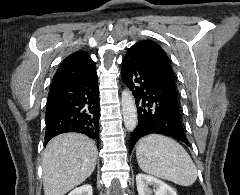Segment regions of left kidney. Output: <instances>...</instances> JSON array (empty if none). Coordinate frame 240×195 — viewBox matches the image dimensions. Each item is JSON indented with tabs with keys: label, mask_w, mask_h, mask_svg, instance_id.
<instances>
[{
	"label": "left kidney",
	"mask_w": 240,
	"mask_h": 195,
	"mask_svg": "<svg viewBox=\"0 0 240 195\" xmlns=\"http://www.w3.org/2000/svg\"><path fill=\"white\" fill-rule=\"evenodd\" d=\"M136 183L138 189V195H177L175 189L165 183V181H161V179H157V177H153V175H146V173H137L136 175ZM153 189H151V187Z\"/></svg>",
	"instance_id": "5707ae66"
}]
</instances>
